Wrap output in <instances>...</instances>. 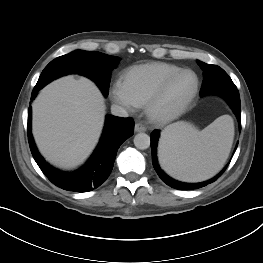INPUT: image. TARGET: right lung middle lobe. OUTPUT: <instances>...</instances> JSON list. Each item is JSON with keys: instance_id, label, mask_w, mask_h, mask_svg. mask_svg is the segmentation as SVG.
<instances>
[{"instance_id": "dd1d6c3e", "label": "right lung middle lobe", "mask_w": 263, "mask_h": 263, "mask_svg": "<svg viewBox=\"0 0 263 263\" xmlns=\"http://www.w3.org/2000/svg\"><path fill=\"white\" fill-rule=\"evenodd\" d=\"M120 59L95 51H74L51 61L42 71L36 87L42 88L66 74L77 73L89 77L108 95L110 72Z\"/></svg>"}]
</instances>
